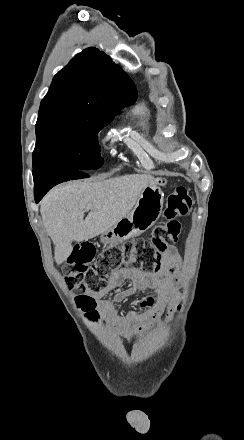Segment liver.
Wrapping results in <instances>:
<instances>
[{
    "mask_svg": "<svg viewBox=\"0 0 244 440\" xmlns=\"http://www.w3.org/2000/svg\"><path fill=\"white\" fill-rule=\"evenodd\" d=\"M153 180L146 174H128L99 182H66L50 190L40 202V214L55 246L56 264L69 258L73 240H91L125 218ZM85 212L89 214L83 220Z\"/></svg>",
    "mask_w": 244,
    "mask_h": 440,
    "instance_id": "obj_1",
    "label": "liver"
}]
</instances>
